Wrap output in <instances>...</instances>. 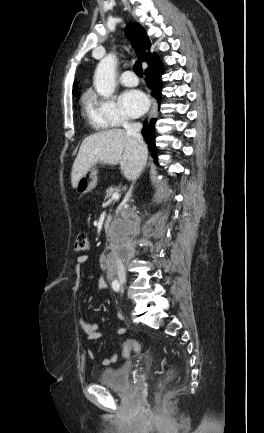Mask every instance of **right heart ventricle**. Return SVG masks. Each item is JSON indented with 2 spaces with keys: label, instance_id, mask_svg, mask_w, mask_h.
<instances>
[{
  "label": "right heart ventricle",
  "instance_id": "right-heart-ventricle-1",
  "mask_svg": "<svg viewBox=\"0 0 264 433\" xmlns=\"http://www.w3.org/2000/svg\"><path fill=\"white\" fill-rule=\"evenodd\" d=\"M89 100H90L89 97H84V98H83V103H84V106H85L86 115H87V117H88L89 123H90V125H91L94 129H103V128L105 127V125L102 124L100 121H98V120L94 117V115H93V113H92V111H91V109H90V101H89Z\"/></svg>",
  "mask_w": 264,
  "mask_h": 433
}]
</instances>
